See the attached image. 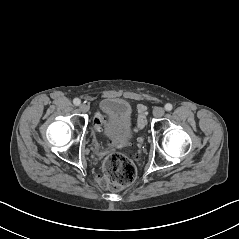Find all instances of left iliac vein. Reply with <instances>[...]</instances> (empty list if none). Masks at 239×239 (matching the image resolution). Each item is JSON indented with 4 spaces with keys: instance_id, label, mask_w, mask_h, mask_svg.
Segmentation results:
<instances>
[{
    "instance_id": "4c4485c4",
    "label": "left iliac vein",
    "mask_w": 239,
    "mask_h": 239,
    "mask_svg": "<svg viewBox=\"0 0 239 239\" xmlns=\"http://www.w3.org/2000/svg\"><path fill=\"white\" fill-rule=\"evenodd\" d=\"M164 113H165V110H164V108H162V107H157V108L154 109V111H153V115H154V117H156V118L162 117V116L164 115Z\"/></svg>"
}]
</instances>
